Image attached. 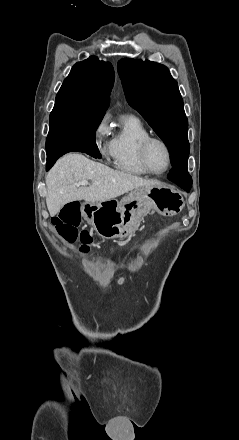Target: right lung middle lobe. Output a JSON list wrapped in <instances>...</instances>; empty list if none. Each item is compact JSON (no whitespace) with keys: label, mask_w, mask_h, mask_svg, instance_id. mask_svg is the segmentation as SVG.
I'll return each mask as SVG.
<instances>
[{"label":"right lung middle lobe","mask_w":239,"mask_h":440,"mask_svg":"<svg viewBox=\"0 0 239 440\" xmlns=\"http://www.w3.org/2000/svg\"><path fill=\"white\" fill-rule=\"evenodd\" d=\"M103 116V114L78 113L64 108H54L49 118L47 155L96 144L95 131Z\"/></svg>","instance_id":"right-lung-middle-lobe-1"}]
</instances>
